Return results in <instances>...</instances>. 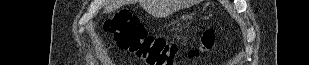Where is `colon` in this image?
Listing matches in <instances>:
<instances>
[{"instance_id": "colon-1", "label": "colon", "mask_w": 309, "mask_h": 65, "mask_svg": "<svg viewBox=\"0 0 309 65\" xmlns=\"http://www.w3.org/2000/svg\"><path fill=\"white\" fill-rule=\"evenodd\" d=\"M104 30L113 35L117 47L134 54L148 65H173L178 54L176 45L164 38L149 35L139 19L129 11L117 12L104 22ZM215 31L206 29L200 36L199 47L188 52L190 59L213 48Z\"/></svg>"}]
</instances>
